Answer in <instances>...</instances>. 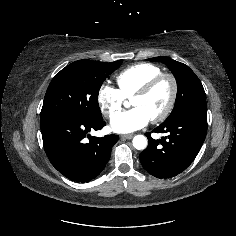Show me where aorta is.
Returning <instances> with one entry per match:
<instances>
[{"label": "aorta", "instance_id": "762f6f07", "mask_svg": "<svg viewBox=\"0 0 236 236\" xmlns=\"http://www.w3.org/2000/svg\"><path fill=\"white\" fill-rule=\"evenodd\" d=\"M132 143L135 149L144 150L147 147V138L143 135H136Z\"/></svg>", "mask_w": 236, "mask_h": 236}]
</instances>
